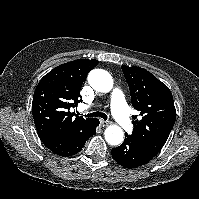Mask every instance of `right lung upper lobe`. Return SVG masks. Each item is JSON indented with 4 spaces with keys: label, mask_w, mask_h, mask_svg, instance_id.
Instances as JSON below:
<instances>
[{
    "label": "right lung upper lobe",
    "mask_w": 199,
    "mask_h": 199,
    "mask_svg": "<svg viewBox=\"0 0 199 199\" xmlns=\"http://www.w3.org/2000/svg\"><path fill=\"white\" fill-rule=\"evenodd\" d=\"M98 64L95 59H78L52 69L38 83L32 101V114L39 137L74 134L94 118H73L69 111L82 100L81 85Z\"/></svg>",
    "instance_id": "cb5924a9"
}]
</instances>
